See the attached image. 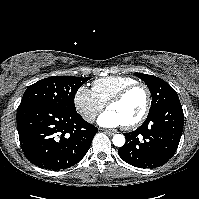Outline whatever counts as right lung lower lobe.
Wrapping results in <instances>:
<instances>
[{"instance_id":"1","label":"right lung lower lobe","mask_w":199,"mask_h":199,"mask_svg":"<svg viewBox=\"0 0 199 199\" xmlns=\"http://www.w3.org/2000/svg\"><path fill=\"white\" fill-rule=\"evenodd\" d=\"M17 130L27 159L50 170L66 169L79 162L98 132L77 111L39 103L18 107Z\"/></svg>"}]
</instances>
